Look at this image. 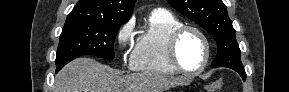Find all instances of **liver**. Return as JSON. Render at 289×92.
<instances>
[{"instance_id": "obj_1", "label": "liver", "mask_w": 289, "mask_h": 92, "mask_svg": "<svg viewBox=\"0 0 289 92\" xmlns=\"http://www.w3.org/2000/svg\"><path fill=\"white\" fill-rule=\"evenodd\" d=\"M184 79L155 73L120 76L110 66L90 58H77L55 77V92H164Z\"/></svg>"}]
</instances>
